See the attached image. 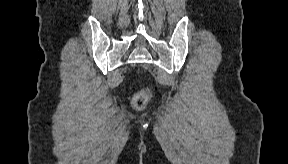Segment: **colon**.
<instances>
[{"mask_svg":"<svg viewBox=\"0 0 288 164\" xmlns=\"http://www.w3.org/2000/svg\"><path fill=\"white\" fill-rule=\"evenodd\" d=\"M151 93L147 88H141L133 97V107L137 110H142L146 107Z\"/></svg>","mask_w":288,"mask_h":164,"instance_id":"colon-1","label":"colon"}]
</instances>
